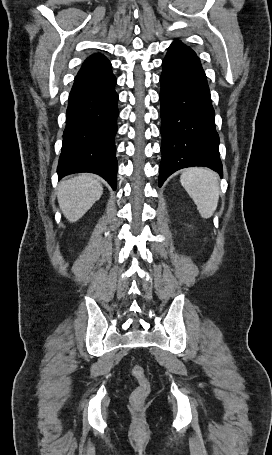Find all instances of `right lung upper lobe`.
<instances>
[{
	"label": "right lung upper lobe",
	"instance_id": "right-lung-upper-lobe-1",
	"mask_svg": "<svg viewBox=\"0 0 272 455\" xmlns=\"http://www.w3.org/2000/svg\"><path fill=\"white\" fill-rule=\"evenodd\" d=\"M111 70V63L102 54H93L86 59L79 70L75 81L92 78Z\"/></svg>",
	"mask_w": 272,
	"mask_h": 455
}]
</instances>
